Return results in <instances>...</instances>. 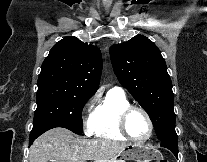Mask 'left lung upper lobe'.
<instances>
[{
	"label": "left lung upper lobe",
	"instance_id": "1",
	"mask_svg": "<svg viewBox=\"0 0 207 162\" xmlns=\"http://www.w3.org/2000/svg\"><path fill=\"white\" fill-rule=\"evenodd\" d=\"M110 56L118 80L149 114L158 139L177 136L172 83L157 46L137 35L112 45Z\"/></svg>",
	"mask_w": 207,
	"mask_h": 162
}]
</instances>
